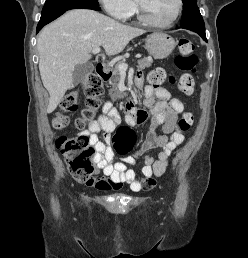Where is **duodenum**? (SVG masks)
<instances>
[{
	"instance_id": "obj_1",
	"label": "duodenum",
	"mask_w": 248,
	"mask_h": 258,
	"mask_svg": "<svg viewBox=\"0 0 248 258\" xmlns=\"http://www.w3.org/2000/svg\"><path fill=\"white\" fill-rule=\"evenodd\" d=\"M96 73L104 81H107L111 77L110 69L102 62H98L96 64ZM132 109L133 107H127V109L125 110L126 115H128L132 111Z\"/></svg>"
}]
</instances>
